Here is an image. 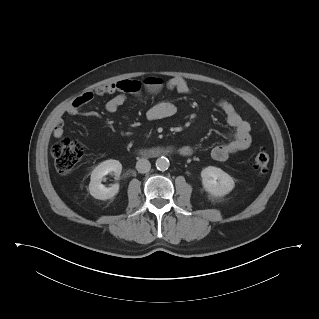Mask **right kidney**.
Listing matches in <instances>:
<instances>
[{"label":"right kidney","mask_w":319,"mask_h":319,"mask_svg":"<svg viewBox=\"0 0 319 319\" xmlns=\"http://www.w3.org/2000/svg\"><path fill=\"white\" fill-rule=\"evenodd\" d=\"M121 170L122 164L118 160L110 159L100 163L91 173V181L89 184L90 194L99 200H107L115 196L119 192V184L105 187L101 182L102 178L111 172L119 176Z\"/></svg>","instance_id":"obj_1"}]
</instances>
